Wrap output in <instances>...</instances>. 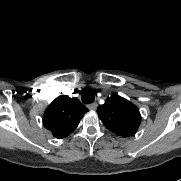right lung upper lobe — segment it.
<instances>
[{
    "label": "right lung upper lobe",
    "instance_id": "1",
    "mask_svg": "<svg viewBox=\"0 0 181 181\" xmlns=\"http://www.w3.org/2000/svg\"><path fill=\"white\" fill-rule=\"evenodd\" d=\"M88 109L77 98L61 95L54 99L43 115V125L54 137L69 136Z\"/></svg>",
    "mask_w": 181,
    "mask_h": 181
}]
</instances>
